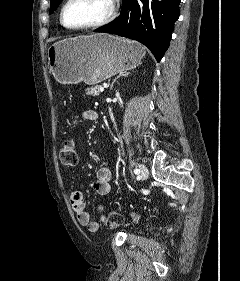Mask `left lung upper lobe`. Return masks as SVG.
Segmentation results:
<instances>
[{
    "label": "left lung upper lobe",
    "mask_w": 240,
    "mask_h": 281,
    "mask_svg": "<svg viewBox=\"0 0 240 281\" xmlns=\"http://www.w3.org/2000/svg\"><path fill=\"white\" fill-rule=\"evenodd\" d=\"M62 0H50V14L57 8Z\"/></svg>",
    "instance_id": "1"
}]
</instances>
